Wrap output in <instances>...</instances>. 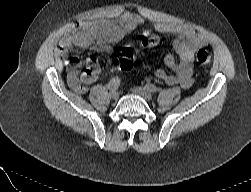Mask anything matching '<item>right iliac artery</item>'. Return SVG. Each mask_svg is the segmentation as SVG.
Listing matches in <instances>:
<instances>
[{
  "instance_id": "obj_1",
  "label": "right iliac artery",
  "mask_w": 251,
  "mask_h": 192,
  "mask_svg": "<svg viewBox=\"0 0 251 192\" xmlns=\"http://www.w3.org/2000/svg\"><path fill=\"white\" fill-rule=\"evenodd\" d=\"M119 85H120V79L118 77H114L107 84V88L109 90H116V89H118Z\"/></svg>"
}]
</instances>
